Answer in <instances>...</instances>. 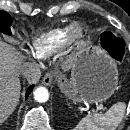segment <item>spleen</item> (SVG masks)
<instances>
[{"label": "spleen", "mask_w": 130, "mask_h": 130, "mask_svg": "<svg viewBox=\"0 0 130 130\" xmlns=\"http://www.w3.org/2000/svg\"><path fill=\"white\" fill-rule=\"evenodd\" d=\"M126 109L124 102L111 106L105 114L87 115L72 130H114L121 122Z\"/></svg>", "instance_id": "obj_1"}]
</instances>
